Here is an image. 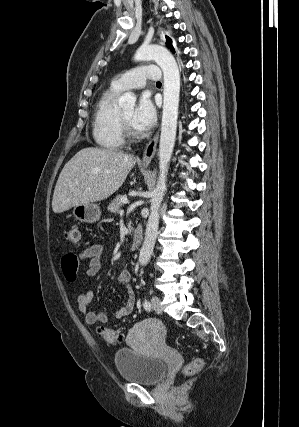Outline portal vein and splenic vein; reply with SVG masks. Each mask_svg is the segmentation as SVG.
I'll return each instance as SVG.
<instances>
[{
  "label": "portal vein and splenic vein",
  "instance_id": "18ae733b",
  "mask_svg": "<svg viewBox=\"0 0 299 427\" xmlns=\"http://www.w3.org/2000/svg\"><path fill=\"white\" fill-rule=\"evenodd\" d=\"M122 203L127 204L128 203V199L127 198H122L121 199ZM124 211L121 210L120 213L122 214Z\"/></svg>",
  "mask_w": 299,
  "mask_h": 427
}]
</instances>
